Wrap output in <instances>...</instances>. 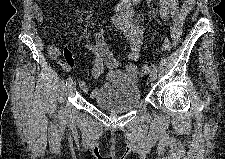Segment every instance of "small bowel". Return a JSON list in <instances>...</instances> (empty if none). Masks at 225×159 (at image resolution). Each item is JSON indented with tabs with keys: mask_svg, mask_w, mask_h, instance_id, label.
<instances>
[{
	"mask_svg": "<svg viewBox=\"0 0 225 159\" xmlns=\"http://www.w3.org/2000/svg\"><path fill=\"white\" fill-rule=\"evenodd\" d=\"M139 0H126L117 6L116 13L113 17V25L126 39L129 46L127 54V62L117 60L108 48L105 41V30H101L96 34L95 41L85 43L84 47L88 49L93 55V67L90 75L94 79L105 77L106 81L125 80L136 82L139 78V68L137 61L141 57V50L143 46V34L140 25L135 18L134 6ZM193 7V2L187 0L179 8L176 0H162L160 3V15L163 20L172 19L171 37L174 43L180 40L182 34L183 22L188 13ZM36 21L44 25L45 16L41 4L35 2L32 5ZM46 33V29H44ZM48 54L54 60H58L61 52L55 45H49ZM64 59L60 61L62 67L69 71L75 65V60L72 52L68 48L63 50ZM104 64H106L110 71L104 75ZM80 88L88 93V87L84 82L80 83ZM94 96L95 92L90 93Z\"/></svg>",
	"mask_w": 225,
	"mask_h": 159,
	"instance_id": "obj_1",
	"label": "small bowel"
}]
</instances>
